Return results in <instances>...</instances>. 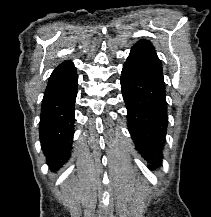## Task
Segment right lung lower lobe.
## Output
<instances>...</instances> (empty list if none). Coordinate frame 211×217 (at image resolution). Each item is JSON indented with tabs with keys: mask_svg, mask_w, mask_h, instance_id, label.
I'll use <instances>...</instances> for the list:
<instances>
[{
	"mask_svg": "<svg viewBox=\"0 0 211 217\" xmlns=\"http://www.w3.org/2000/svg\"><path fill=\"white\" fill-rule=\"evenodd\" d=\"M77 81L75 73L70 80L47 87L42 100L39 123L41 149L53 170L62 167L70 157Z\"/></svg>",
	"mask_w": 211,
	"mask_h": 217,
	"instance_id": "98d812e1",
	"label": "right lung lower lobe"
}]
</instances>
